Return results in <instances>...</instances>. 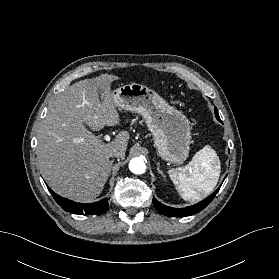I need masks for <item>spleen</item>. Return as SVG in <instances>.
<instances>
[{"mask_svg":"<svg viewBox=\"0 0 279 279\" xmlns=\"http://www.w3.org/2000/svg\"><path fill=\"white\" fill-rule=\"evenodd\" d=\"M220 160L215 150L204 146L188 165L169 170L179 195L185 201L201 200L215 188L220 176Z\"/></svg>","mask_w":279,"mask_h":279,"instance_id":"spleen-1","label":"spleen"}]
</instances>
